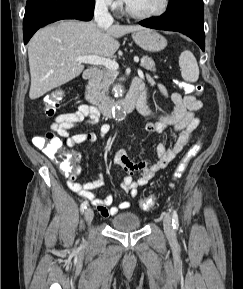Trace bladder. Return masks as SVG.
Instances as JSON below:
<instances>
[{"label":"bladder","instance_id":"1","mask_svg":"<svg viewBox=\"0 0 243 289\" xmlns=\"http://www.w3.org/2000/svg\"><path fill=\"white\" fill-rule=\"evenodd\" d=\"M111 226L119 231L136 230L141 226L140 217L133 212H123L111 219Z\"/></svg>","mask_w":243,"mask_h":289}]
</instances>
